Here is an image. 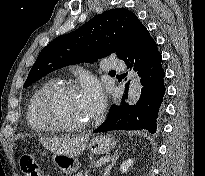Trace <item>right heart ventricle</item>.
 Masks as SVG:
<instances>
[{
	"label": "right heart ventricle",
	"mask_w": 205,
	"mask_h": 176,
	"mask_svg": "<svg viewBox=\"0 0 205 176\" xmlns=\"http://www.w3.org/2000/svg\"><path fill=\"white\" fill-rule=\"evenodd\" d=\"M56 83V80L54 79H50L47 80L46 82H44L43 84H41L32 94V96L30 97L28 103H27V111H26V119L28 122V125L30 127V129L35 132V133H45L47 131L50 130L49 127L40 124L34 115V107H35V103L38 99V97L49 87H51L52 85H54Z\"/></svg>",
	"instance_id": "right-heart-ventricle-1"
}]
</instances>
